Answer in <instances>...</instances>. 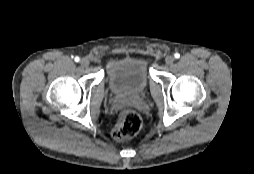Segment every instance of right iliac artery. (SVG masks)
I'll use <instances>...</instances> for the list:
<instances>
[{
	"label": "right iliac artery",
	"mask_w": 254,
	"mask_h": 174,
	"mask_svg": "<svg viewBox=\"0 0 254 174\" xmlns=\"http://www.w3.org/2000/svg\"><path fill=\"white\" fill-rule=\"evenodd\" d=\"M76 62H78L80 59H79V57H75V59H74Z\"/></svg>",
	"instance_id": "right-iliac-artery-1"
}]
</instances>
